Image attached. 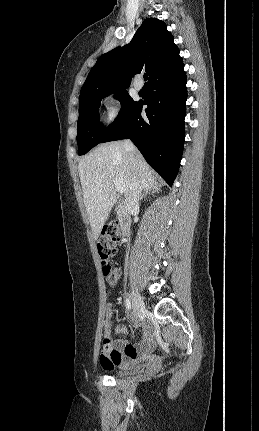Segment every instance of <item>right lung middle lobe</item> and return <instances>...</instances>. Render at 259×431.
<instances>
[{"label": "right lung middle lobe", "instance_id": "1", "mask_svg": "<svg viewBox=\"0 0 259 431\" xmlns=\"http://www.w3.org/2000/svg\"><path fill=\"white\" fill-rule=\"evenodd\" d=\"M115 93L114 97L120 100L122 108L113 124L106 128L99 120L100 102L106 96ZM137 102H134L125 89L94 93L86 96L79 103V118L77 122L78 155H84L92 147L105 141L112 130L127 116Z\"/></svg>", "mask_w": 259, "mask_h": 431}]
</instances>
